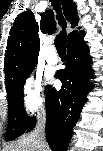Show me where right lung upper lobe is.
<instances>
[{
	"instance_id": "obj_1",
	"label": "right lung upper lobe",
	"mask_w": 103,
	"mask_h": 151,
	"mask_svg": "<svg viewBox=\"0 0 103 151\" xmlns=\"http://www.w3.org/2000/svg\"><path fill=\"white\" fill-rule=\"evenodd\" d=\"M63 12L71 27L78 24L79 18L76 5L72 0H61ZM39 29L43 33L53 34L56 24L53 12L48 10L43 13L40 27L34 19L32 11L26 10L19 14L10 30L5 52L4 71L5 83L8 88L21 74L37 64L40 49ZM82 30H75L68 34L70 41Z\"/></svg>"
}]
</instances>
